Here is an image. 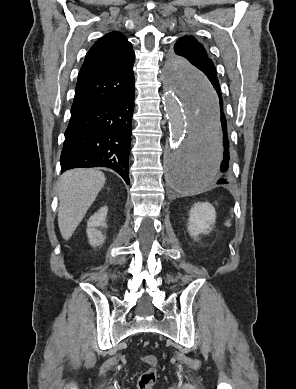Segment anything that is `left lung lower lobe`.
Segmentation results:
<instances>
[{"mask_svg": "<svg viewBox=\"0 0 296 389\" xmlns=\"http://www.w3.org/2000/svg\"><path fill=\"white\" fill-rule=\"evenodd\" d=\"M209 78H197L198 94L204 97L206 102L214 106L217 122L204 128L202 134L193 129L189 143L177 161V175L185 172L186 177L192 178L196 175L203 160L210 154H215L217 166L213 176L217 184L228 183L229 162H230V136L229 123L225 113L224 101L216 72L208 75ZM177 188L183 185L177 183Z\"/></svg>", "mask_w": 296, "mask_h": 389, "instance_id": "obj_1", "label": "left lung lower lobe"}]
</instances>
